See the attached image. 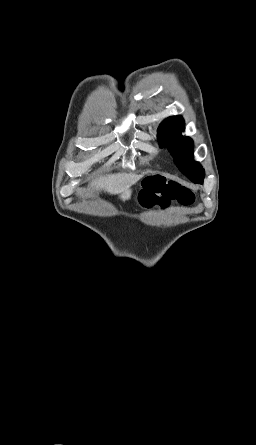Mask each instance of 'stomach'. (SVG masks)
Returning <instances> with one entry per match:
<instances>
[{
	"mask_svg": "<svg viewBox=\"0 0 256 445\" xmlns=\"http://www.w3.org/2000/svg\"><path fill=\"white\" fill-rule=\"evenodd\" d=\"M131 194H132V189L127 188L125 191H123V192L121 193V198H122L124 201H125V200H128V199H130Z\"/></svg>",
	"mask_w": 256,
	"mask_h": 445,
	"instance_id": "obj_1",
	"label": "stomach"
}]
</instances>
